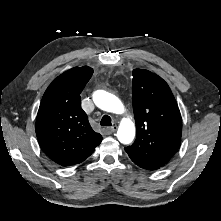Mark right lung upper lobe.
<instances>
[{
    "instance_id": "1",
    "label": "right lung upper lobe",
    "mask_w": 221,
    "mask_h": 221,
    "mask_svg": "<svg viewBox=\"0 0 221 221\" xmlns=\"http://www.w3.org/2000/svg\"><path fill=\"white\" fill-rule=\"evenodd\" d=\"M93 74L88 66L59 75L45 91L36 119V135L44 153L62 166L83 162L102 141L81 108L80 93Z\"/></svg>"
}]
</instances>
